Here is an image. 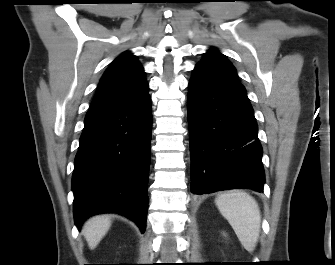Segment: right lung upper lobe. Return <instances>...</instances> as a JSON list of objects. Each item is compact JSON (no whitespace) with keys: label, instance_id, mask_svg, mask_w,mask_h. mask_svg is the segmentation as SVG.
Instances as JSON below:
<instances>
[{"label":"right lung upper lobe","instance_id":"obj_1","mask_svg":"<svg viewBox=\"0 0 335 265\" xmlns=\"http://www.w3.org/2000/svg\"><path fill=\"white\" fill-rule=\"evenodd\" d=\"M147 91L142 65L126 51L103 74L90 109L125 104L141 98Z\"/></svg>","mask_w":335,"mask_h":265}]
</instances>
